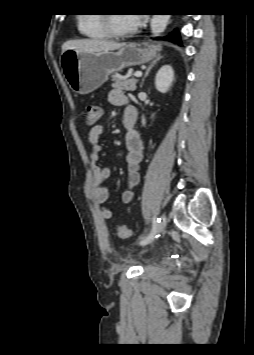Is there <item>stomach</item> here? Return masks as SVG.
I'll use <instances>...</instances> for the list:
<instances>
[{"mask_svg": "<svg viewBox=\"0 0 254 355\" xmlns=\"http://www.w3.org/2000/svg\"><path fill=\"white\" fill-rule=\"evenodd\" d=\"M161 46L125 44L117 52H78L68 49L61 54L60 63L71 89L78 94H89L100 87L108 76L128 66L152 60Z\"/></svg>", "mask_w": 254, "mask_h": 355, "instance_id": "1", "label": "stomach"}]
</instances>
